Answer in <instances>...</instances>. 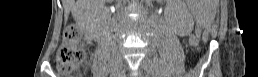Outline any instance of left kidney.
Masks as SVG:
<instances>
[{"label": "left kidney", "instance_id": "left-kidney-1", "mask_svg": "<svg viewBox=\"0 0 258 77\" xmlns=\"http://www.w3.org/2000/svg\"><path fill=\"white\" fill-rule=\"evenodd\" d=\"M184 19H185V20H189L185 15H184Z\"/></svg>", "mask_w": 258, "mask_h": 77}]
</instances>
